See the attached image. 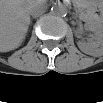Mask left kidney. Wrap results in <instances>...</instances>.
<instances>
[{
  "label": "left kidney",
  "mask_w": 103,
  "mask_h": 103,
  "mask_svg": "<svg viewBox=\"0 0 103 103\" xmlns=\"http://www.w3.org/2000/svg\"><path fill=\"white\" fill-rule=\"evenodd\" d=\"M85 28L93 31L94 35L86 43L79 41L77 43L79 49L89 55H99L102 52L103 46V30L102 27H98L94 24H85Z\"/></svg>",
  "instance_id": "obj_1"
}]
</instances>
